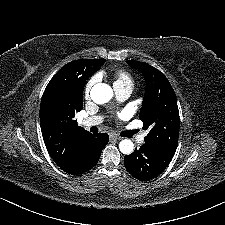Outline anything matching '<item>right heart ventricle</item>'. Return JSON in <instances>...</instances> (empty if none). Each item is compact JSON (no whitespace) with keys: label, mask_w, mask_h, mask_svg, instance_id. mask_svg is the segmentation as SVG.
Returning a JSON list of instances; mask_svg holds the SVG:
<instances>
[{"label":"right heart ventricle","mask_w":225,"mask_h":225,"mask_svg":"<svg viewBox=\"0 0 225 225\" xmlns=\"http://www.w3.org/2000/svg\"><path fill=\"white\" fill-rule=\"evenodd\" d=\"M114 80V87L134 88L135 80L133 76L124 69H117L111 74Z\"/></svg>","instance_id":"right-heart-ventricle-1"}]
</instances>
